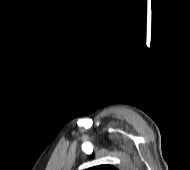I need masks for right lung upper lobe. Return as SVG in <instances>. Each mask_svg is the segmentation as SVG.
Returning a JSON list of instances; mask_svg holds the SVG:
<instances>
[{
	"label": "right lung upper lobe",
	"instance_id": "cb5924a9",
	"mask_svg": "<svg viewBox=\"0 0 190 170\" xmlns=\"http://www.w3.org/2000/svg\"><path fill=\"white\" fill-rule=\"evenodd\" d=\"M87 170H118V169L111 165H100V166L91 167Z\"/></svg>",
	"mask_w": 190,
	"mask_h": 170
}]
</instances>
